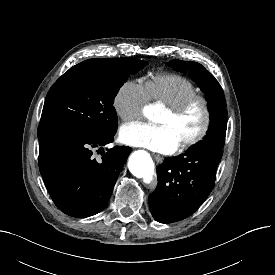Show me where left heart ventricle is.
Returning a JSON list of instances; mask_svg holds the SVG:
<instances>
[{
  "label": "left heart ventricle",
  "mask_w": 275,
  "mask_h": 275,
  "mask_svg": "<svg viewBox=\"0 0 275 275\" xmlns=\"http://www.w3.org/2000/svg\"><path fill=\"white\" fill-rule=\"evenodd\" d=\"M203 119L204 113L202 105L195 103L179 116H173L165 109L157 122L160 125L169 126L180 144L198 132L203 123Z\"/></svg>",
  "instance_id": "left-heart-ventricle-1"
}]
</instances>
